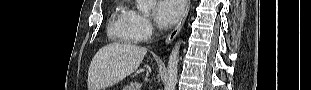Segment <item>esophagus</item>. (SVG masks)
<instances>
[{
  "instance_id": "obj_1",
  "label": "esophagus",
  "mask_w": 311,
  "mask_h": 90,
  "mask_svg": "<svg viewBox=\"0 0 311 90\" xmlns=\"http://www.w3.org/2000/svg\"><path fill=\"white\" fill-rule=\"evenodd\" d=\"M190 3H191L190 0H185V7H184V10L182 12V15H181L177 25L175 26V28L167 36L166 41H165L166 44L171 43L175 39L177 34L179 33L180 29L182 28V26L186 20V17L188 15L189 9H190Z\"/></svg>"
}]
</instances>
